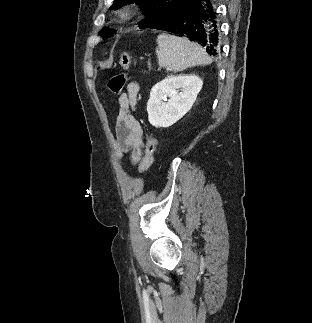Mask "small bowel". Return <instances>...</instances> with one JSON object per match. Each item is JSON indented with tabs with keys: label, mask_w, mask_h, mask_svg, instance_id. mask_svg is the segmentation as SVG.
<instances>
[{
	"label": "small bowel",
	"mask_w": 312,
	"mask_h": 323,
	"mask_svg": "<svg viewBox=\"0 0 312 323\" xmlns=\"http://www.w3.org/2000/svg\"><path fill=\"white\" fill-rule=\"evenodd\" d=\"M138 92L139 84L131 81L126 91L118 97V115L113 143L115 156L123 159L129 153L133 164L140 163L144 147L142 126L135 115Z\"/></svg>",
	"instance_id": "c3829d8e"
}]
</instances>
